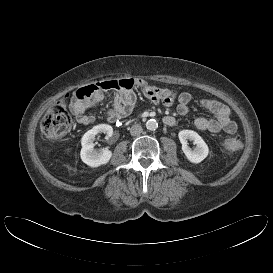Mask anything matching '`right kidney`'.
<instances>
[{"instance_id":"1","label":"right kidney","mask_w":273,"mask_h":273,"mask_svg":"<svg viewBox=\"0 0 273 273\" xmlns=\"http://www.w3.org/2000/svg\"><path fill=\"white\" fill-rule=\"evenodd\" d=\"M98 133H104L107 138H110L113 134V128L108 124H99L87 131L81 139V159L93 168L107 164L112 157V152L108 148H103L100 151L94 149V140Z\"/></svg>"}]
</instances>
